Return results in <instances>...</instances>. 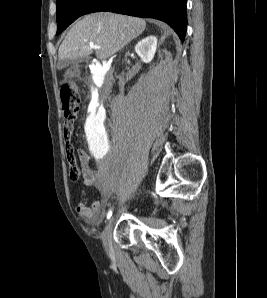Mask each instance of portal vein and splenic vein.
<instances>
[{
	"mask_svg": "<svg viewBox=\"0 0 267 298\" xmlns=\"http://www.w3.org/2000/svg\"><path fill=\"white\" fill-rule=\"evenodd\" d=\"M90 47L93 48V49H95V50L101 49V46L93 45V44H91Z\"/></svg>",
	"mask_w": 267,
	"mask_h": 298,
	"instance_id": "18ae733b",
	"label": "portal vein and splenic vein"
}]
</instances>
